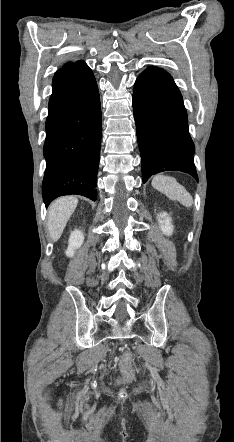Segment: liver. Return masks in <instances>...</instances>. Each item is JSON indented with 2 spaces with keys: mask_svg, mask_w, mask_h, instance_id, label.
Listing matches in <instances>:
<instances>
[{
  "mask_svg": "<svg viewBox=\"0 0 234 442\" xmlns=\"http://www.w3.org/2000/svg\"><path fill=\"white\" fill-rule=\"evenodd\" d=\"M78 199L75 196H65L55 200L48 210L47 229L52 241H57L75 211Z\"/></svg>",
  "mask_w": 234,
  "mask_h": 442,
  "instance_id": "obj_1",
  "label": "liver"
}]
</instances>
